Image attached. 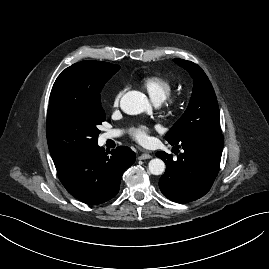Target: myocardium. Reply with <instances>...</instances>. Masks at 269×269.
Segmentation results:
<instances>
[{
  "label": "myocardium",
  "mask_w": 269,
  "mask_h": 269,
  "mask_svg": "<svg viewBox=\"0 0 269 269\" xmlns=\"http://www.w3.org/2000/svg\"><path fill=\"white\" fill-rule=\"evenodd\" d=\"M180 102L179 98H171L166 102V106L168 109L176 111L180 106Z\"/></svg>",
  "instance_id": "f54148a6"
}]
</instances>
